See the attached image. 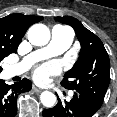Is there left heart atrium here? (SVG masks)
I'll list each match as a JSON object with an SVG mask.
<instances>
[{
  "label": "left heart atrium",
  "mask_w": 117,
  "mask_h": 117,
  "mask_svg": "<svg viewBox=\"0 0 117 117\" xmlns=\"http://www.w3.org/2000/svg\"><path fill=\"white\" fill-rule=\"evenodd\" d=\"M60 72V66L57 62H48L40 65L34 70L33 77L38 83H45L49 77Z\"/></svg>",
  "instance_id": "1"
}]
</instances>
